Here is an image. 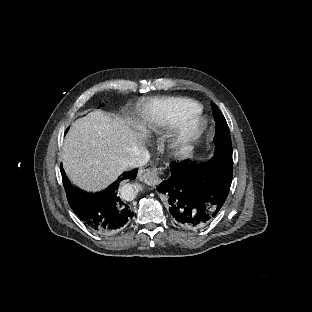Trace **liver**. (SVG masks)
<instances>
[{"instance_id":"6515ba94","label":"liver","mask_w":312,"mask_h":312,"mask_svg":"<svg viewBox=\"0 0 312 312\" xmlns=\"http://www.w3.org/2000/svg\"><path fill=\"white\" fill-rule=\"evenodd\" d=\"M140 127L103 111L76 120L67 135L60 161L70 180L99 190L115 181L131 160L145 149Z\"/></svg>"}]
</instances>
